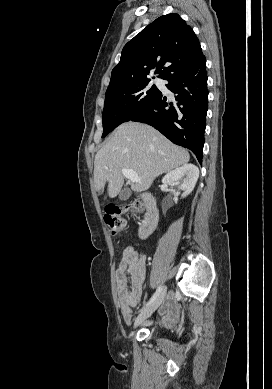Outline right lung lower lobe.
Returning <instances> with one entry per match:
<instances>
[{"label": "right lung lower lobe", "mask_w": 272, "mask_h": 389, "mask_svg": "<svg viewBox=\"0 0 272 389\" xmlns=\"http://www.w3.org/2000/svg\"><path fill=\"white\" fill-rule=\"evenodd\" d=\"M166 80V87L176 94L175 102H169L160 92L131 121L153 126L173 143L190 149L202 163L208 110L205 56Z\"/></svg>", "instance_id": "98d812e1"}]
</instances>
